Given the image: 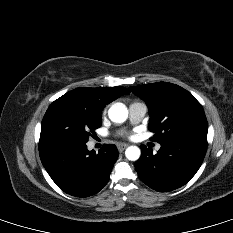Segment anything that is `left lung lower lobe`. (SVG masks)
I'll return each instance as SVG.
<instances>
[{"label":"left lung lower lobe","mask_w":233,"mask_h":233,"mask_svg":"<svg viewBox=\"0 0 233 233\" xmlns=\"http://www.w3.org/2000/svg\"><path fill=\"white\" fill-rule=\"evenodd\" d=\"M206 151L207 141L199 139L163 143L157 154L141 145L135 168L147 186L168 192L185 185L196 174Z\"/></svg>","instance_id":"0a47b994"}]
</instances>
